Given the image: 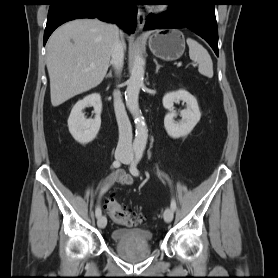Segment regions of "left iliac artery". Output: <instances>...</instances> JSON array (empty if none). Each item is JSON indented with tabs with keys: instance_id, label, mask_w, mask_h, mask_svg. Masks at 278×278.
I'll return each instance as SVG.
<instances>
[{
	"instance_id": "obj_1",
	"label": "left iliac artery",
	"mask_w": 278,
	"mask_h": 278,
	"mask_svg": "<svg viewBox=\"0 0 278 278\" xmlns=\"http://www.w3.org/2000/svg\"><path fill=\"white\" fill-rule=\"evenodd\" d=\"M142 156H143V149H138L136 151V153H135L134 162H133V164H132V166L130 168V172L134 176H138L139 175V171L137 169V164L140 162ZM163 176L169 181V183L171 185V182H170L169 178L167 176H165V175H163ZM171 208H172L173 211L176 210V201H175L174 197L171 200Z\"/></svg>"
}]
</instances>
